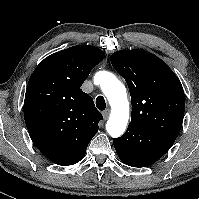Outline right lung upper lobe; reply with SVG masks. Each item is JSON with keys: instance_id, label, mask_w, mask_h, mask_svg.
<instances>
[{"instance_id": "cb5924a9", "label": "right lung upper lobe", "mask_w": 199, "mask_h": 199, "mask_svg": "<svg viewBox=\"0 0 199 199\" xmlns=\"http://www.w3.org/2000/svg\"><path fill=\"white\" fill-rule=\"evenodd\" d=\"M104 52L77 45L46 57L33 71L25 94L24 119L29 135L52 162H79L98 131L101 113L80 87Z\"/></svg>"}]
</instances>
